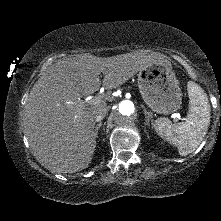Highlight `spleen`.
Instances as JSON below:
<instances>
[{"label": "spleen", "instance_id": "3e777b00", "mask_svg": "<svg viewBox=\"0 0 221 221\" xmlns=\"http://www.w3.org/2000/svg\"><path fill=\"white\" fill-rule=\"evenodd\" d=\"M189 112L184 122L173 124L168 118H158L154 128L158 135L186 156L200 145L210 124V105L207 94L195 82L187 84Z\"/></svg>", "mask_w": 221, "mask_h": 221}]
</instances>
